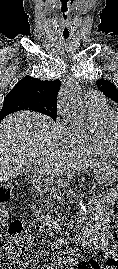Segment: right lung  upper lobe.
<instances>
[{
	"instance_id": "obj_1",
	"label": "right lung upper lobe",
	"mask_w": 118,
	"mask_h": 269,
	"mask_svg": "<svg viewBox=\"0 0 118 269\" xmlns=\"http://www.w3.org/2000/svg\"><path fill=\"white\" fill-rule=\"evenodd\" d=\"M60 85L59 80L41 81L38 78L26 76L16 84L8 95H23L42 105L57 106L56 100Z\"/></svg>"
}]
</instances>
